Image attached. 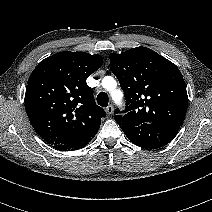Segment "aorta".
Segmentation results:
<instances>
[{"mask_svg": "<svg viewBox=\"0 0 212 212\" xmlns=\"http://www.w3.org/2000/svg\"><path fill=\"white\" fill-rule=\"evenodd\" d=\"M111 82H114V80L111 78ZM114 95H115V92L114 93H112V98H113V100L115 101V102H119V99H116L115 97H114Z\"/></svg>", "mask_w": 212, "mask_h": 212, "instance_id": "aorta-1", "label": "aorta"}]
</instances>
